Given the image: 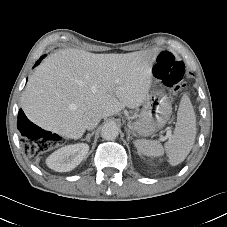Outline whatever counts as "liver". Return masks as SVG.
<instances>
[{
  "label": "liver",
  "instance_id": "1",
  "mask_svg": "<svg viewBox=\"0 0 227 227\" xmlns=\"http://www.w3.org/2000/svg\"><path fill=\"white\" fill-rule=\"evenodd\" d=\"M154 51L94 54L67 49L48 56L35 70L21 97L27 118L44 130L79 139L85 118H102L146 99L152 84Z\"/></svg>",
  "mask_w": 227,
  "mask_h": 227
}]
</instances>
